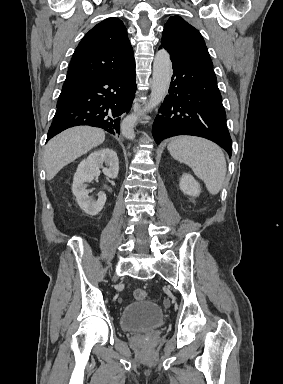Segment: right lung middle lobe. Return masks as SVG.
Wrapping results in <instances>:
<instances>
[{
  "label": "right lung middle lobe",
  "instance_id": "obj_1",
  "mask_svg": "<svg viewBox=\"0 0 283 384\" xmlns=\"http://www.w3.org/2000/svg\"><path fill=\"white\" fill-rule=\"evenodd\" d=\"M66 94V92H62L59 96V99H61L64 95Z\"/></svg>",
  "mask_w": 283,
  "mask_h": 384
}]
</instances>
